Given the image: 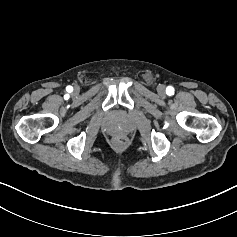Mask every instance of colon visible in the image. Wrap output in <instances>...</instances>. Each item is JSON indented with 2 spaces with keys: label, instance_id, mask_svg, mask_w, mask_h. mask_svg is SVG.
I'll return each instance as SVG.
<instances>
[{
  "label": "colon",
  "instance_id": "1",
  "mask_svg": "<svg viewBox=\"0 0 237 237\" xmlns=\"http://www.w3.org/2000/svg\"><path fill=\"white\" fill-rule=\"evenodd\" d=\"M118 146H124L127 143V140L124 137H120L116 141Z\"/></svg>",
  "mask_w": 237,
  "mask_h": 237
}]
</instances>
